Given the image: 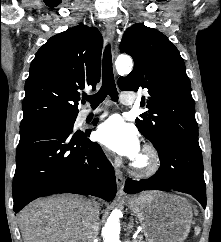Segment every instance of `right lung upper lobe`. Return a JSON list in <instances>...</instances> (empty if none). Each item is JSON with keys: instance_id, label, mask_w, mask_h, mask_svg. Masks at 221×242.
<instances>
[{"instance_id": "1", "label": "right lung upper lobe", "mask_w": 221, "mask_h": 242, "mask_svg": "<svg viewBox=\"0 0 221 242\" xmlns=\"http://www.w3.org/2000/svg\"><path fill=\"white\" fill-rule=\"evenodd\" d=\"M102 46L101 33L83 24L51 37L31 62L20 127L76 115L80 91L100 80Z\"/></svg>"}]
</instances>
